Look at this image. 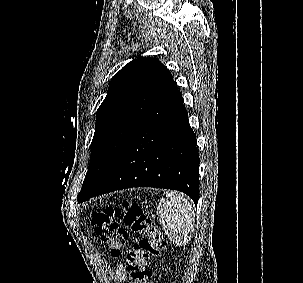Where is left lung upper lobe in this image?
<instances>
[{
  "label": "left lung upper lobe",
  "mask_w": 303,
  "mask_h": 283,
  "mask_svg": "<svg viewBox=\"0 0 303 283\" xmlns=\"http://www.w3.org/2000/svg\"><path fill=\"white\" fill-rule=\"evenodd\" d=\"M169 73L158 59L137 57L112 77L96 113L90 165L79 194L96 190L109 177Z\"/></svg>",
  "instance_id": "left-lung-upper-lobe-1"
}]
</instances>
